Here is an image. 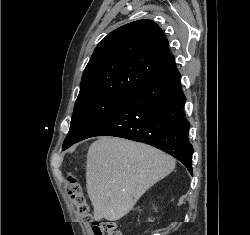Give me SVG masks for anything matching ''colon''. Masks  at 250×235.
Returning a JSON list of instances; mask_svg holds the SVG:
<instances>
[{"label": "colon", "mask_w": 250, "mask_h": 235, "mask_svg": "<svg viewBox=\"0 0 250 235\" xmlns=\"http://www.w3.org/2000/svg\"><path fill=\"white\" fill-rule=\"evenodd\" d=\"M68 182L70 184L69 195L76 210L82 219L92 222L94 235H122L119 224L116 221H92L89 206L76 178L73 175H69Z\"/></svg>", "instance_id": "obj_1"}]
</instances>
